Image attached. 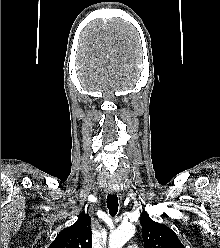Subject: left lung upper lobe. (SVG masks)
I'll return each mask as SVG.
<instances>
[{
	"label": "left lung upper lobe",
	"instance_id": "5c2ea615",
	"mask_svg": "<svg viewBox=\"0 0 220 248\" xmlns=\"http://www.w3.org/2000/svg\"><path fill=\"white\" fill-rule=\"evenodd\" d=\"M140 223L145 248H184L173 230L154 222L146 212L142 213Z\"/></svg>",
	"mask_w": 220,
	"mask_h": 248
}]
</instances>
